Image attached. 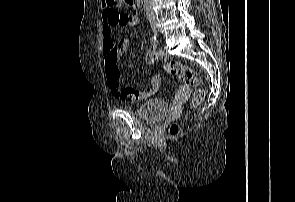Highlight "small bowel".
Here are the masks:
<instances>
[{
  "instance_id": "obj_1",
  "label": "small bowel",
  "mask_w": 295,
  "mask_h": 202,
  "mask_svg": "<svg viewBox=\"0 0 295 202\" xmlns=\"http://www.w3.org/2000/svg\"><path fill=\"white\" fill-rule=\"evenodd\" d=\"M121 15L123 14L119 13L116 9L112 10L106 0L102 2L103 24L101 32L105 73L108 87L115 98L137 103L148 100L157 93L161 84V78L158 74H154L151 78L150 88L144 91H136L132 88L121 87L118 64L121 56L127 51L130 44V39L128 37L121 39L117 43L113 40V28L120 25ZM128 17L131 26L135 27L140 24L136 13L128 15ZM164 57V52L154 47L147 52L145 60L146 63L152 64ZM179 90L180 93H177L175 102H171V107H181V103H184V98H188L189 89L187 88V85H179Z\"/></svg>"
}]
</instances>
